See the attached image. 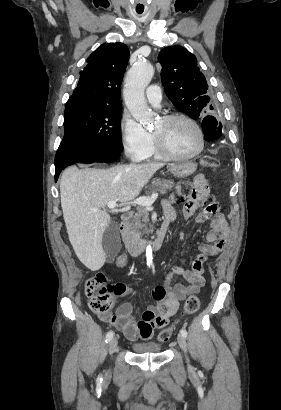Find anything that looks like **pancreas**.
Returning <instances> with one entry per match:
<instances>
[{"mask_svg": "<svg viewBox=\"0 0 281 410\" xmlns=\"http://www.w3.org/2000/svg\"><path fill=\"white\" fill-rule=\"evenodd\" d=\"M174 187L173 180H156L150 186V192L147 194L149 196L152 193L160 192V194H166L167 191H171ZM149 222V212L147 207L139 205L136 212H130L127 216V221L125 223V229L123 232L125 242L134 240L140 237L146 230L147 223Z\"/></svg>", "mask_w": 281, "mask_h": 410, "instance_id": "cf45deb5", "label": "pancreas"}]
</instances>
